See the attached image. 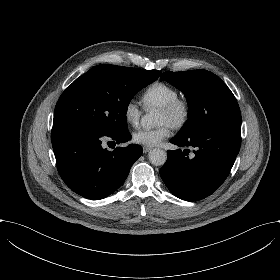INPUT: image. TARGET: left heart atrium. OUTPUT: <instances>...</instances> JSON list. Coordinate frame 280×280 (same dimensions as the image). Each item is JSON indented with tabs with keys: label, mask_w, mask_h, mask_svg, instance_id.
<instances>
[{
	"label": "left heart atrium",
	"mask_w": 280,
	"mask_h": 280,
	"mask_svg": "<svg viewBox=\"0 0 280 280\" xmlns=\"http://www.w3.org/2000/svg\"><path fill=\"white\" fill-rule=\"evenodd\" d=\"M172 129L173 125L166 121L154 128H138L132 133V140L138 145L157 146L171 135Z\"/></svg>",
	"instance_id": "39dd6f15"
}]
</instances>
